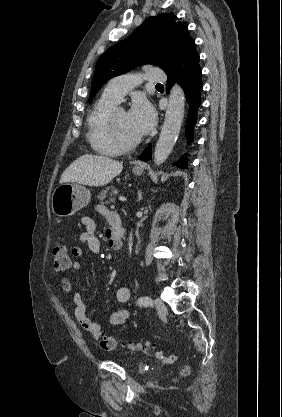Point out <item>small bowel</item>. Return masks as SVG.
<instances>
[{
  "mask_svg": "<svg viewBox=\"0 0 282 417\" xmlns=\"http://www.w3.org/2000/svg\"><path fill=\"white\" fill-rule=\"evenodd\" d=\"M96 209L106 218L109 224V228L106 231V238L112 247L113 242L116 244L118 243L115 239V235L117 228L122 226L120 216L115 211L110 210L103 205H97ZM80 223L84 227V230L79 235V243L72 249L73 255L76 258H80L83 254V247H87L92 254L101 256L102 244L100 238L96 235L95 221L89 216H82L80 218ZM72 268L79 271L82 268V263L79 260H75L72 262ZM60 283L64 293L70 294L72 292V283L68 278L61 279ZM115 297L118 303H127L130 298V289L126 286L118 287ZM73 301L74 309L71 312L72 318L76 320L83 329L90 333L95 341L105 340L106 334L103 332L100 323L89 315L88 305L82 293L74 292ZM128 318V310L121 308L111 312L109 316V324L113 326L122 325L128 320Z\"/></svg>",
  "mask_w": 282,
  "mask_h": 417,
  "instance_id": "small-bowel-1",
  "label": "small bowel"
}]
</instances>
